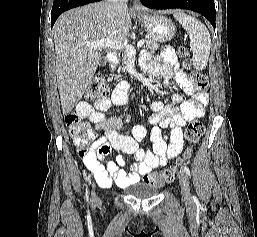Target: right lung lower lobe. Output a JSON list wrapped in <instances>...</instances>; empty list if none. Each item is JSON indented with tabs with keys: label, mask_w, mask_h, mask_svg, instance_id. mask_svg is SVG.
<instances>
[{
	"label": "right lung lower lobe",
	"mask_w": 257,
	"mask_h": 237,
	"mask_svg": "<svg viewBox=\"0 0 257 237\" xmlns=\"http://www.w3.org/2000/svg\"><path fill=\"white\" fill-rule=\"evenodd\" d=\"M101 0H54L51 12V28L64 11Z\"/></svg>",
	"instance_id": "98d812e1"
}]
</instances>
